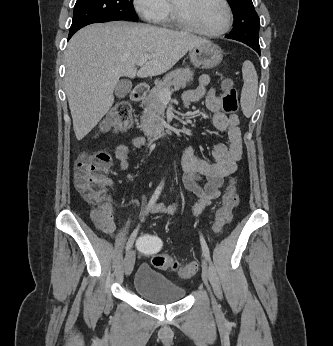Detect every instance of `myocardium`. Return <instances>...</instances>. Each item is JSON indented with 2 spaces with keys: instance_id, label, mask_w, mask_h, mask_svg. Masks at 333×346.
<instances>
[{
  "instance_id": "obj_1",
  "label": "myocardium",
  "mask_w": 333,
  "mask_h": 346,
  "mask_svg": "<svg viewBox=\"0 0 333 346\" xmlns=\"http://www.w3.org/2000/svg\"><path fill=\"white\" fill-rule=\"evenodd\" d=\"M172 1V9H173V16L176 22L183 28H185L188 31H191L193 33L202 35V36H207V37H218L221 35H224L229 31V29L232 26L233 23V11L232 7L229 3L228 0H220L222 4L225 7L226 10V21L224 26L216 31H205L197 27L194 23H192L183 13L182 9L180 6H178L174 0Z\"/></svg>"
}]
</instances>
